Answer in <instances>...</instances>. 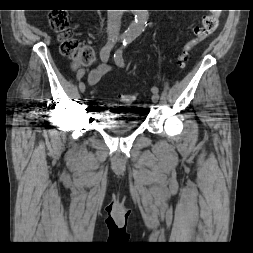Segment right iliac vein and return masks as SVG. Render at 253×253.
Instances as JSON below:
<instances>
[{"label": "right iliac vein", "instance_id": "obj_1", "mask_svg": "<svg viewBox=\"0 0 253 253\" xmlns=\"http://www.w3.org/2000/svg\"><path fill=\"white\" fill-rule=\"evenodd\" d=\"M79 90L81 93H83L85 91V84L83 82L79 83Z\"/></svg>", "mask_w": 253, "mask_h": 253}]
</instances>
